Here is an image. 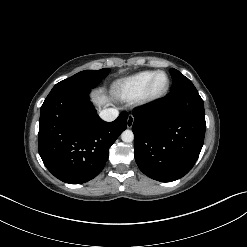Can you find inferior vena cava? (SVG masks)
I'll use <instances>...</instances> for the list:
<instances>
[{"instance_id":"602c4592","label":"inferior vena cava","mask_w":247,"mask_h":247,"mask_svg":"<svg viewBox=\"0 0 247 247\" xmlns=\"http://www.w3.org/2000/svg\"><path fill=\"white\" fill-rule=\"evenodd\" d=\"M119 115V111L114 108H108L100 111L99 116L106 122L114 121Z\"/></svg>"}]
</instances>
